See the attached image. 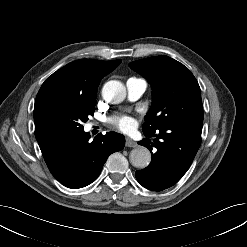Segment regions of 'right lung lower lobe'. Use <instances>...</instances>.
<instances>
[{
	"mask_svg": "<svg viewBox=\"0 0 247 247\" xmlns=\"http://www.w3.org/2000/svg\"><path fill=\"white\" fill-rule=\"evenodd\" d=\"M35 137L52 175L64 186L77 189L92 183L109 155L123 149L124 136L99 134L89 141L84 130H35Z\"/></svg>",
	"mask_w": 247,
	"mask_h": 247,
	"instance_id": "obj_1",
	"label": "right lung lower lobe"
}]
</instances>
